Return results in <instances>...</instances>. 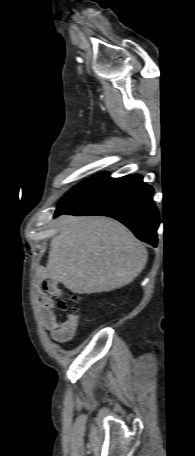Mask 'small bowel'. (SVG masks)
Returning <instances> with one entry per match:
<instances>
[{"mask_svg":"<svg viewBox=\"0 0 195 456\" xmlns=\"http://www.w3.org/2000/svg\"><path fill=\"white\" fill-rule=\"evenodd\" d=\"M57 283L45 278L41 280L37 288V302L39 316L42 324L50 330L52 337L58 342L69 340L75 333L76 322L74 319L60 324L53 312V297L59 296Z\"/></svg>","mask_w":195,"mask_h":456,"instance_id":"obj_1","label":"small bowel"}]
</instances>
